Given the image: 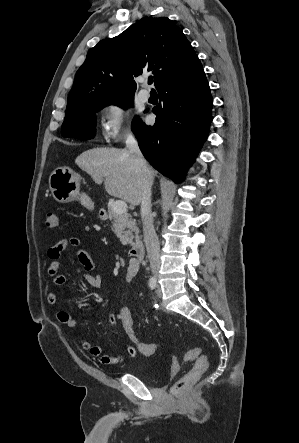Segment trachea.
Returning <instances> with one entry per match:
<instances>
[{"label":"trachea","mask_w":299,"mask_h":443,"mask_svg":"<svg viewBox=\"0 0 299 443\" xmlns=\"http://www.w3.org/2000/svg\"><path fill=\"white\" fill-rule=\"evenodd\" d=\"M153 83V77L148 78V84L151 85Z\"/></svg>","instance_id":"obj_1"}]
</instances>
